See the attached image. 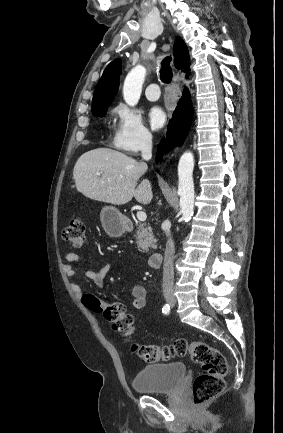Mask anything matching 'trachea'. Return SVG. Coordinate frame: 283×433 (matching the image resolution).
Returning a JSON list of instances; mask_svg holds the SVG:
<instances>
[{
  "instance_id": "3493384b",
  "label": "trachea",
  "mask_w": 283,
  "mask_h": 433,
  "mask_svg": "<svg viewBox=\"0 0 283 433\" xmlns=\"http://www.w3.org/2000/svg\"><path fill=\"white\" fill-rule=\"evenodd\" d=\"M171 61V57H165L161 62L160 78L163 83H170L172 80V68L170 67Z\"/></svg>"
}]
</instances>
